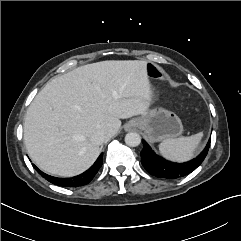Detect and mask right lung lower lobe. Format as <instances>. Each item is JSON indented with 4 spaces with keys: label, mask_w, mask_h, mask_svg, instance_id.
Masks as SVG:
<instances>
[{
    "label": "right lung lower lobe",
    "mask_w": 241,
    "mask_h": 241,
    "mask_svg": "<svg viewBox=\"0 0 241 241\" xmlns=\"http://www.w3.org/2000/svg\"><path fill=\"white\" fill-rule=\"evenodd\" d=\"M102 157H103V153L98 157L96 162L87 171L72 178L62 179V178L52 177L40 171L35 165L33 166L41 174V176H43L45 179H47L49 182L55 185H59L63 187H78V186H83L88 184L93 179L95 174L102 166Z\"/></svg>",
    "instance_id": "1"
}]
</instances>
